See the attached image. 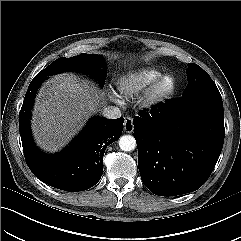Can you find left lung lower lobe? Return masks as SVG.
Returning <instances> with one entry per match:
<instances>
[{"instance_id":"0a47b994","label":"left lung lower lobe","mask_w":241,"mask_h":241,"mask_svg":"<svg viewBox=\"0 0 241 241\" xmlns=\"http://www.w3.org/2000/svg\"><path fill=\"white\" fill-rule=\"evenodd\" d=\"M142 182L154 194L176 196L200 188L224 143L222 98L168 100L133 120Z\"/></svg>"}]
</instances>
